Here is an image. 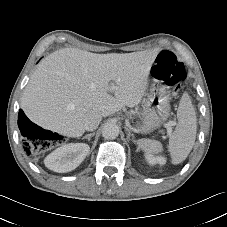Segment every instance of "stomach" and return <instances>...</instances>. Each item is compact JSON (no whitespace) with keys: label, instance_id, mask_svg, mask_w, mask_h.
<instances>
[{"label":"stomach","instance_id":"obj_1","mask_svg":"<svg viewBox=\"0 0 227 227\" xmlns=\"http://www.w3.org/2000/svg\"><path fill=\"white\" fill-rule=\"evenodd\" d=\"M170 110L166 88L154 79L143 101L142 118L138 125L141 133L148 134L159 128L168 119Z\"/></svg>","mask_w":227,"mask_h":227}]
</instances>
